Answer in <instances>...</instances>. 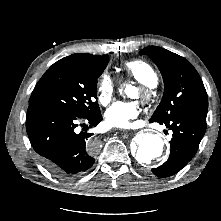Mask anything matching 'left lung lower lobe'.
Here are the masks:
<instances>
[{"mask_svg":"<svg viewBox=\"0 0 221 221\" xmlns=\"http://www.w3.org/2000/svg\"><path fill=\"white\" fill-rule=\"evenodd\" d=\"M173 131L170 141V155L160 167L152 172L161 178L169 177L179 172L195 155L205 131L206 123L189 116H177L165 123Z\"/></svg>","mask_w":221,"mask_h":221,"instance_id":"obj_1","label":"left lung lower lobe"}]
</instances>
